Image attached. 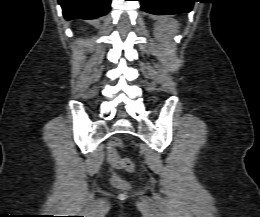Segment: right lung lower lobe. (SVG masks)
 Returning <instances> with one entry per match:
<instances>
[{"instance_id": "obj_1", "label": "right lung lower lobe", "mask_w": 260, "mask_h": 217, "mask_svg": "<svg viewBox=\"0 0 260 217\" xmlns=\"http://www.w3.org/2000/svg\"><path fill=\"white\" fill-rule=\"evenodd\" d=\"M66 20L94 19L110 11V0H58Z\"/></svg>"}]
</instances>
